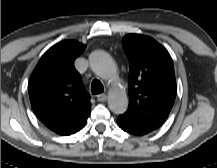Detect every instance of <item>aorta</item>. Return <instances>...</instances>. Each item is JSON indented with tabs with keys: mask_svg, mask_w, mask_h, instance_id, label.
I'll return each mask as SVG.
<instances>
[{
	"mask_svg": "<svg viewBox=\"0 0 217 168\" xmlns=\"http://www.w3.org/2000/svg\"><path fill=\"white\" fill-rule=\"evenodd\" d=\"M92 71L103 80L112 82L117 75V68L113 59L104 51H94L89 56ZM108 107L115 114H123L128 109L126 91L112 86L108 94Z\"/></svg>",
	"mask_w": 217,
	"mask_h": 168,
	"instance_id": "aorta-1",
	"label": "aorta"
}]
</instances>
